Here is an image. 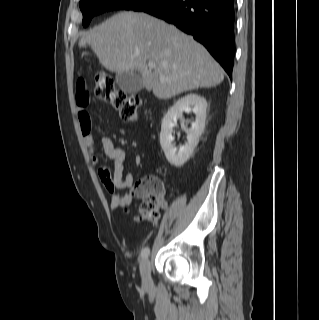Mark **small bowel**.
Listing matches in <instances>:
<instances>
[{
    "label": "small bowel",
    "instance_id": "obj_1",
    "mask_svg": "<svg viewBox=\"0 0 319 320\" xmlns=\"http://www.w3.org/2000/svg\"><path fill=\"white\" fill-rule=\"evenodd\" d=\"M75 103L77 109L76 118L83 134L87 151L91 156L93 163L101 167L99 175L104 188L111 194V207L128 208L134 198L138 195L135 192L133 175L130 172H125V150L116 147L110 137L103 136L100 140L101 147L105 157L113 162V169L109 170L106 166H103L95 146L94 137L90 133L93 120L88 108L90 96L84 85L78 87L75 94ZM116 134L118 136H123L126 134V130L124 128H119ZM133 162L136 166H140L142 164V157L139 154L134 155ZM102 173H106L107 175L102 177ZM125 189H128L130 192L127 194L119 193V191Z\"/></svg>",
    "mask_w": 319,
    "mask_h": 320
}]
</instances>
